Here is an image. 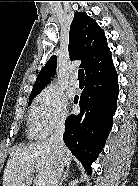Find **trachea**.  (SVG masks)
<instances>
[{"mask_svg": "<svg viewBox=\"0 0 138 186\" xmlns=\"http://www.w3.org/2000/svg\"><path fill=\"white\" fill-rule=\"evenodd\" d=\"M84 76H85L84 70L83 69H80L78 71V79H79V81H84Z\"/></svg>", "mask_w": 138, "mask_h": 186, "instance_id": "obj_1", "label": "trachea"}]
</instances>
